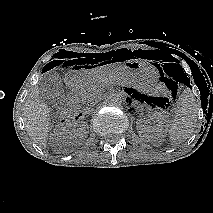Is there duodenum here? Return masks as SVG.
Instances as JSON below:
<instances>
[{"label":"duodenum","instance_id":"obj_1","mask_svg":"<svg viewBox=\"0 0 213 213\" xmlns=\"http://www.w3.org/2000/svg\"><path fill=\"white\" fill-rule=\"evenodd\" d=\"M83 115V111H77L75 114H74V117L76 119L80 118L81 116Z\"/></svg>","mask_w":213,"mask_h":213}]
</instances>
